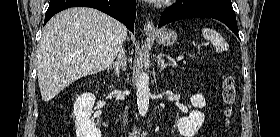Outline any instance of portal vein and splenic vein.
Returning <instances> with one entry per match:
<instances>
[{"instance_id":"portal-vein-and-splenic-vein-1","label":"portal vein and splenic vein","mask_w":280,"mask_h":137,"mask_svg":"<svg viewBox=\"0 0 280 137\" xmlns=\"http://www.w3.org/2000/svg\"><path fill=\"white\" fill-rule=\"evenodd\" d=\"M182 59H184V57H179V58H178V60H182Z\"/></svg>"}]
</instances>
